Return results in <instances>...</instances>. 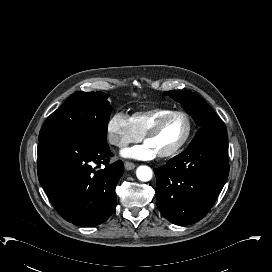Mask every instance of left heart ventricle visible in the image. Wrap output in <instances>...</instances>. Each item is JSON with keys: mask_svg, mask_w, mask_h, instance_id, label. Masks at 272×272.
<instances>
[{"mask_svg": "<svg viewBox=\"0 0 272 272\" xmlns=\"http://www.w3.org/2000/svg\"><path fill=\"white\" fill-rule=\"evenodd\" d=\"M186 123L182 117L169 119L147 142L159 153L173 150L183 139Z\"/></svg>", "mask_w": 272, "mask_h": 272, "instance_id": "b2bd125f", "label": "left heart ventricle"}]
</instances>
